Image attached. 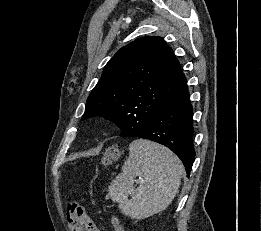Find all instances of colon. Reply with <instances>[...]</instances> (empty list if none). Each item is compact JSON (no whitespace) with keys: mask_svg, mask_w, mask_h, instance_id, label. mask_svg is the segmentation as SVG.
Returning <instances> with one entry per match:
<instances>
[{"mask_svg":"<svg viewBox=\"0 0 261 231\" xmlns=\"http://www.w3.org/2000/svg\"><path fill=\"white\" fill-rule=\"evenodd\" d=\"M66 218L69 223L79 225L83 231H92L94 225L86 210L76 202H70L66 211ZM114 231H124L123 226L116 216L112 219Z\"/></svg>","mask_w":261,"mask_h":231,"instance_id":"1","label":"colon"}]
</instances>
